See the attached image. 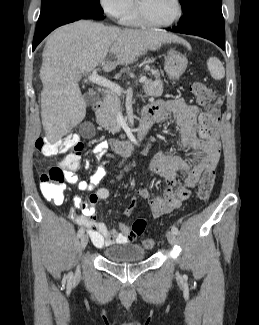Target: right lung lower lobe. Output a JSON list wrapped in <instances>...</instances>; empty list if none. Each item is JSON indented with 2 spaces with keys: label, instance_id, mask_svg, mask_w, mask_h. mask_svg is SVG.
Masks as SVG:
<instances>
[{
  "label": "right lung lower lobe",
  "instance_id": "98d812e1",
  "mask_svg": "<svg viewBox=\"0 0 259 325\" xmlns=\"http://www.w3.org/2000/svg\"><path fill=\"white\" fill-rule=\"evenodd\" d=\"M80 19H86V18H83L74 13H61L49 18L41 26L36 28L34 39H33L32 51H34L37 45L55 28Z\"/></svg>",
  "mask_w": 259,
  "mask_h": 325
}]
</instances>
